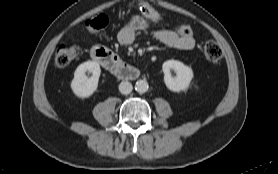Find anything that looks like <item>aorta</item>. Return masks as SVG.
<instances>
[{"instance_id":"1","label":"aorta","mask_w":278,"mask_h":174,"mask_svg":"<svg viewBox=\"0 0 278 174\" xmlns=\"http://www.w3.org/2000/svg\"><path fill=\"white\" fill-rule=\"evenodd\" d=\"M148 83L146 80H138L135 84V90L138 93H145L148 90Z\"/></svg>"}]
</instances>
